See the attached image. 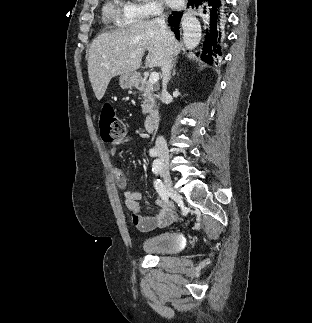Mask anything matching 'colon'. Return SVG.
<instances>
[{
    "label": "colon",
    "mask_w": 312,
    "mask_h": 323,
    "mask_svg": "<svg viewBox=\"0 0 312 323\" xmlns=\"http://www.w3.org/2000/svg\"><path fill=\"white\" fill-rule=\"evenodd\" d=\"M101 136L106 142L120 140L125 136V125L110 105H105L100 115Z\"/></svg>",
    "instance_id": "colon-1"
}]
</instances>
